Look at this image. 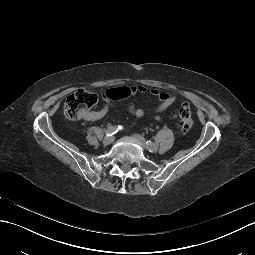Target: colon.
I'll use <instances>...</instances> for the list:
<instances>
[{
  "instance_id": "5ec220e1",
  "label": "colon",
  "mask_w": 255,
  "mask_h": 255,
  "mask_svg": "<svg viewBox=\"0 0 255 255\" xmlns=\"http://www.w3.org/2000/svg\"><path fill=\"white\" fill-rule=\"evenodd\" d=\"M132 90L128 87L113 88L105 92L104 97L110 101H116L128 97ZM97 103L95 93L87 90H78L70 95L64 105V113L69 119H78L94 107ZM180 128L183 132H188L193 125L191 109L184 104L176 114Z\"/></svg>"
}]
</instances>
